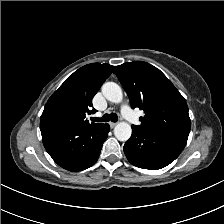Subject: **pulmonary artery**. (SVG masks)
Here are the masks:
<instances>
[{
  "instance_id": "e3ab8cb5",
  "label": "pulmonary artery",
  "mask_w": 224,
  "mask_h": 224,
  "mask_svg": "<svg viewBox=\"0 0 224 224\" xmlns=\"http://www.w3.org/2000/svg\"><path fill=\"white\" fill-rule=\"evenodd\" d=\"M121 113L126 118V120L133 125L138 124V119L133 110L126 104L121 107Z\"/></svg>"
}]
</instances>
